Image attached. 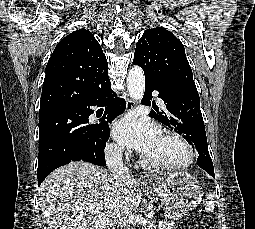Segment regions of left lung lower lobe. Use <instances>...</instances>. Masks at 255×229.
Listing matches in <instances>:
<instances>
[{
	"label": "left lung lower lobe",
	"mask_w": 255,
	"mask_h": 229,
	"mask_svg": "<svg viewBox=\"0 0 255 229\" xmlns=\"http://www.w3.org/2000/svg\"><path fill=\"white\" fill-rule=\"evenodd\" d=\"M154 90L159 91V97L164 101L166 111L152 110L150 112L152 118L178 133L189 134L191 137L205 140L206 133L200 111L199 94L170 83L145 79V94L142 104L150 105L151 94ZM196 149L199 154L197 165L215 178L207 144L200 143Z\"/></svg>",
	"instance_id": "left-lung-lower-lobe-1"
}]
</instances>
